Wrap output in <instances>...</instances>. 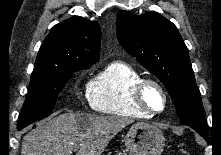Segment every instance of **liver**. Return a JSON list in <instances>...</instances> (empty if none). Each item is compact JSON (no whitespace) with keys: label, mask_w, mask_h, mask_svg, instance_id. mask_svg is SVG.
<instances>
[{"label":"liver","mask_w":221,"mask_h":155,"mask_svg":"<svg viewBox=\"0 0 221 155\" xmlns=\"http://www.w3.org/2000/svg\"><path fill=\"white\" fill-rule=\"evenodd\" d=\"M133 121L116 116L63 113L23 137L21 155H101ZM76 148V149H75Z\"/></svg>","instance_id":"6515ba94"}]
</instances>
